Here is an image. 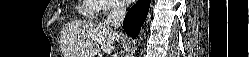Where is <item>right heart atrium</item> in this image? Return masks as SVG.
Masks as SVG:
<instances>
[{"instance_id":"1","label":"right heart atrium","mask_w":249,"mask_h":57,"mask_svg":"<svg viewBox=\"0 0 249 57\" xmlns=\"http://www.w3.org/2000/svg\"><path fill=\"white\" fill-rule=\"evenodd\" d=\"M97 11L101 14H108L119 9L120 3L117 0H95Z\"/></svg>"}]
</instances>
